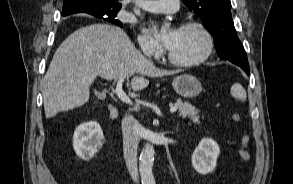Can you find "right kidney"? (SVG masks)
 <instances>
[{"label":"right kidney","instance_id":"right-kidney-1","mask_svg":"<svg viewBox=\"0 0 293 184\" xmlns=\"http://www.w3.org/2000/svg\"><path fill=\"white\" fill-rule=\"evenodd\" d=\"M104 135L100 125L90 121L79 125L73 135V148L83 160H90L102 147Z\"/></svg>","mask_w":293,"mask_h":184}]
</instances>
